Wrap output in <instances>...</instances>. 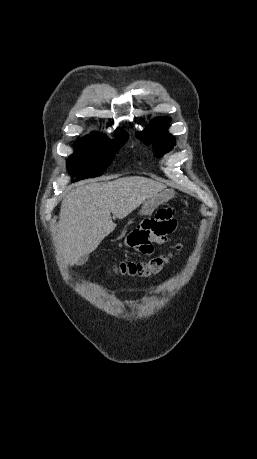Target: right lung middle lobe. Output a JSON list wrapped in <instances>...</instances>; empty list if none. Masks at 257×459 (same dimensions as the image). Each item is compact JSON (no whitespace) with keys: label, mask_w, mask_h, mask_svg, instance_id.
Here are the masks:
<instances>
[{"label":"right lung middle lobe","mask_w":257,"mask_h":459,"mask_svg":"<svg viewBox=\"0 0 257 459\" xmlns=\"http://www.w3.org/2000/svg\"><path fill=\"white\" fill-rule=\"evenodd\" d=\"M116 141L102 139V134L88 135L75 144V153L69 157L67 169L79 181L85 178L97 177L103 174L110 165L116 153L128 139V134L116 132Z\"/></svg>","instance_id":"obj_1"}]
</instances>
